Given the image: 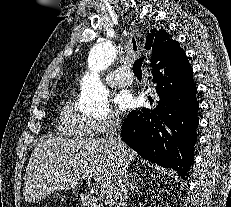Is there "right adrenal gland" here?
<instances>
[{
  "mask_svg": "<svg viewBox=\"0 0 231 207\" xmlns=\"http://www.w3.org/2000/svg\"><path fill=\"white\" fill-rule=\"evenodd\" d=\"M130 177V191L131 193H133L134 189L136 188V183H135V176H133L132 174L129 175Z\"/></svg>",
  "mask_w": 231,
  "mask_h": 207,
  "instance_id": "1",
  "label": "right adrenal gland"
}]
</instances>
